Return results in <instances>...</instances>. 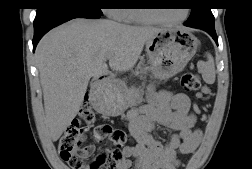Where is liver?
Instances as JSON below:
<instances>
[{"instance_id":"1","label":"liver","mask_w":252,"mask_h":169,"mask_svg":"<svg viewBox=\"0 0 252 169\" xmlns=\"http://www.w3.org/2000/svg\"><path fill=\"white\" fill-rule=\"evenodd\" d=\"M162 28L128 26L108 19H73L48 32L36 48L45 127L57 141L76 117L89 80L137 63L145 43Z\"/></svg>"}]
</instances>
